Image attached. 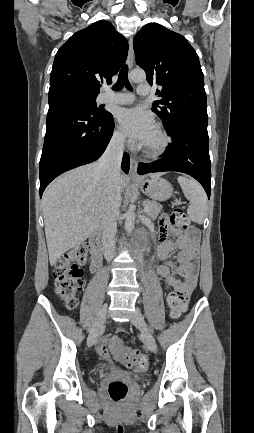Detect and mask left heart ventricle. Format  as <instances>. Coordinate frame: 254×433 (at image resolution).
I'll use <instances>...</instances> for the list:
<instances>
[{"label": "left heart ventricle", "mask_w": 254, "mask_h": 433, "mask_svg": "<svg viewBox=\"0 0 254 433\" xmlns=\"http://www.w3.org/2000/svg\"><path fill=\"white\" fill-rule=\"evenodd\" d=\"M160 142H161V139H160L159 135L157 134L156 130L154 129L152 134L144 142L143 145L150 147V148H154V147H157L160 144Z\"/></svg>", "instance_id": "left-heart-ventricle-1"}]
</instances>
